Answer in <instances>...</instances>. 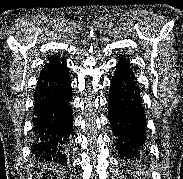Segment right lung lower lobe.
<instances>
[{"mask_svg":"<svg viewBox=\"0 0 183 179\" xmlns=\"http://www.w3.org/2000/svg\"><path fill=\"white\" fill-rule=\"evenodd\" d=\"M71 80L65 63L45 65L34 92L32 153L39 160L67 163L73 129Z\"/></svg>","mask_w":183,"mask_h":179,"instance_id":"obj_1","label":"right lung lower lobe"}]
</instances>
